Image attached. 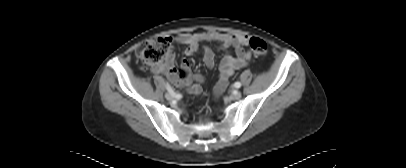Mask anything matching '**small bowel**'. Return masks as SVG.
Masks as SVG:
<instances>
[{"label":"small bowel","instance_id":"small-bowel-1","mask_svg":"<svg viewBox=\"0 0 406 168\" xmlns=\"http://www.w3.org/2000/svg\"><path fill=\"white\" fill-rule=\"evenodd\" d=\"M171 39L175 43L186 46L184 51L186 56L196 54L203 43H216L222 49L232 47L235 50V56L226 54L221 61L219 78L213 90L215 98L219 97L226 89L229 79L234 75L235 71L245 67L251 59V53L243 48L248 43V36L245 35L197 32L177 34ZM203 61L208 68L215 65L214 52L208 46L203 47ZM151 71L155 74H165L176 87L185 88L191 94L200 95L203 92L201 86L203 82L202 76L191 72L187 60H182L181 69L178 72L175 68V56L172 52L167 56L164 63L152 65Z\"/></svg>","mask_w":406,"mask_h":168}]
</instances>
